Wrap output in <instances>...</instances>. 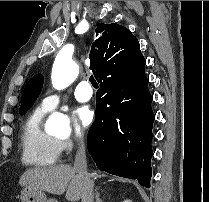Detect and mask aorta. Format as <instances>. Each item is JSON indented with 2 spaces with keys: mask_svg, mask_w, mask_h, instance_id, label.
<instances>
[{
  "mask_svg": "<svg viewBox=\"0 0 209 202\" xmlns=\"http://www.w3.org/2000/svg\"><path fill=\"white\" fill-rule=\"evenodd\" d=\"M79 73L78 65L71 57L59 53L54 61L51 73L52 85L55 89L61 90L71 85ZM45 130L49 133L70 132V121L68 116L60 113H52L45 123Z\"/></svg>",
  "mask_w": 209,
  "mask_h": 202,
  "instance_id": "aorta-1",
  "label": "aorta"
}]
</instances>
